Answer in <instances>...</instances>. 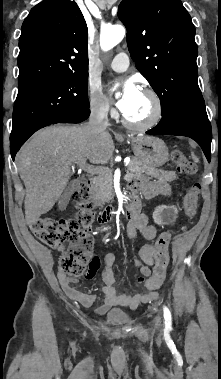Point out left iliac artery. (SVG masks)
Returning a JSON list of instances; mask_svg holds the SVG:
<instances>
[{
	"instance_id": "obj_1",
	"label": "left iliac artery",
	"mask_w": 221,
	"mask_h": 379,
	"mask_svg": "<svg viewBox=\"0 0 221 379\" xmlns=\"http://www.w3.org/2000/svg\"><path fill=\"white\" fill-rule=\"evenodd\" d=\"M163 311H164L165 324L168 327L171 325V322H172L170 311H169L168 307H166V306L163 307Z\"/></svg>"
}]
</instances>
